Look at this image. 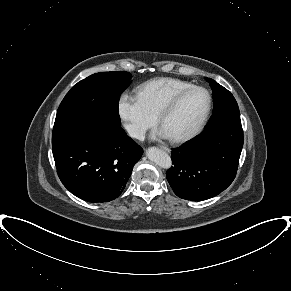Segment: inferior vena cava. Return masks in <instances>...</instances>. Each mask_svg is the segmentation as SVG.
Here are the masks:
<instances>
[{
	"instance_id": "inferior-vena-cava-1",
	"label": "inferior vena cava",
	"mask_w": 291,
	"mask_h": 291,
	"mask_svg": "<svg viewBox=\"0 0 291 291\" xmlns=\"http://www.w3.org/2000/svg\"><path fill=\"white\" fill-rule=\"evenodd\" d=\"M126 129H127L128 134L131 137L136 138L138 140L145 139V131L142 128H140L139 126L129 124L126 126Z\"/></svg>"
}]
</instances>
